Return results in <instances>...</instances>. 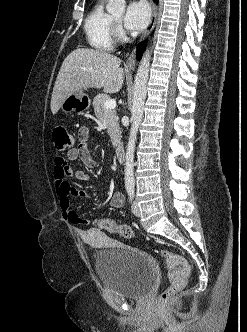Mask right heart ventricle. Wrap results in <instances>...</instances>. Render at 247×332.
<instances>
[{
  "label": "right heart ventricle",
  "mask_w": 247,
  "mask_h": 332,
  "mask_svg": "<svg viewBox=\"0 0 247 332\" xmlns=\"http://www.w3.org/2000/svg\"><path fill=\"white\" fill-rule=\"evenodd\" d=\"M111 19L112 17L105 10V0H99L87 15L84 31L88 44L95 50L113 49Z\"/></svg>",
  "instance_id": "obj_1"
}]
</instances>
